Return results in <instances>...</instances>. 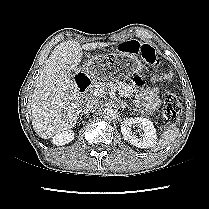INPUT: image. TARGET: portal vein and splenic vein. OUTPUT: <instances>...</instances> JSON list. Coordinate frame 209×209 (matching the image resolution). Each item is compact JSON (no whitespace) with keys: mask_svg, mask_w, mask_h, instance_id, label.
I'll list each match as a JSON object with an SVG mask.
<instances>
[{"mask_svg":"<svg viewBox=\"0 0 209 209\" xmlns=\"http://www.w3.org/2000/svg\"><path fill=\"white\" fill-rule=\"evenodd\" d=\"M118 92H119V95H121V96L125 95L124 91L122 89H120V88H118ZM104 94H105V89H103V88H96L92 92V95L95 96V97H97V96L101 97Z\"/></svg>","mask_w":209,"mask_h":209,"instance_id":"18ae733b","label":"portal vein and splenic vein"}]
</instances>
